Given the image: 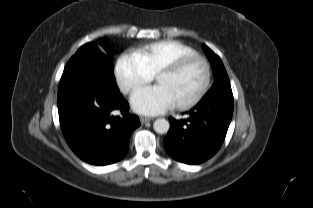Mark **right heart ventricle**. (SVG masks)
Instances as JSON below:
<instances>
[{"label":"right heart ventricle","mask_w":313,"mask_h":208,"mask_svg":"<svg viewBox=\"0 0 313 208\" xmlns=\"http://www.w3.org/2000/svg\"><path fill=\"white\" fill-rule=\"evenodd\" d=\"M135 54L148 71L154 75L164 65L180 57L197 54V52L178 40H161L138 48Z\"/></svg>","instance_id":"e07e8e85"}]
</instances>
